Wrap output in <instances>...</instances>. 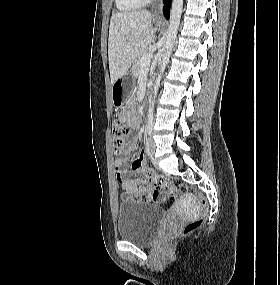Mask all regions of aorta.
I'll use <instances>...</instances> for the list:
<instances>
[{"label": "aorta", "mask_w": 280, "mask_h": 285, "mask_svg": "<svg viewBox=\"0 0 280 285\" xmlns=\"http://www.w3.org/2000/svg\"><path fill=\"white\" fill-rule=\"evenodd\" d=\"M183 9V0H173L171 16H170V24L166 34V44H165V53L162 59L160 73L158 74L155 83L153 85V99L150 103L148 115L152 116L154 111L155 98L157 96V92L160 86V81L163 75V72L168 64L170 54L172 52V48L176 39L177 31L179 28V23L181 19Z\"/></svg>", "instance_id": "1"}]
</instances>
